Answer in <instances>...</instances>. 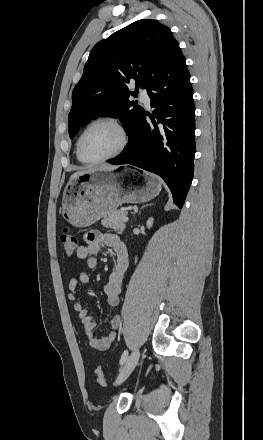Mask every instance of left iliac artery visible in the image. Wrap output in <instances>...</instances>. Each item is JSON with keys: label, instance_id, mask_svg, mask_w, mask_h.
<instances>
[{"label": "left iliac artery", "instance_id": "1", "mask_svg": "<svg viewBox=\"0 0 263 440\" xmlns=\"http://www.w3.org/2000/svg\"><path fill=\"white\" fill-rule=\"evenodd\" d=\"M127 357H128V351L125 350L121 356L120 364H123L126 361Z\"/></svg>", "mask_w": 263, "mask_h": 440}]
</instances>
